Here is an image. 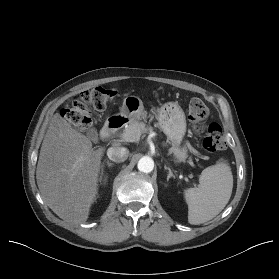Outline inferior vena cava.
<instances>
[{
  "instance_id": "inferior-vena-cava-1",
  "label": "inferior vena cava",
  "mask_w": 279,
  "mask_h": 279,
  "mask_svg": "<svg viewBox=\"0 0 279 279\" xmlns=\"http://www.w3.org/2000/svg\"><path fill=\"white\" fill-rule=\"evenodd\" d=\"M107 156L111 161L120 163L125 161L128 158L129 151L124 147L114 146L108 148Z\"/></svg>"
}]
</instances>
